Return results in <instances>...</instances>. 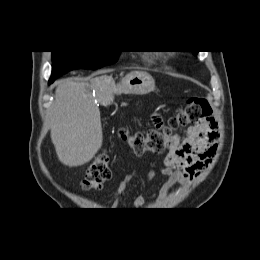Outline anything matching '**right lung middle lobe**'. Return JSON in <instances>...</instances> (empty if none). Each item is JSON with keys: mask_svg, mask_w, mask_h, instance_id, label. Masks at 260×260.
Returning <instances> with one entry per match:
<instances>
[{"mask_svg": "<svg viewBox=\"0 0 260 260\" xmlns=\"http://www.w3.org/2000/svg\"><path fill=\"white\" fill-rule=\"evenodd\" d=\"M118 51H52L51 84L56 78L70 70L97 69L117 61Z\"/></svg>", "mask_w": 260, "mask_h": 260, "instance_id": "1", "label": "right lung middle lobe"}]
</instances>
